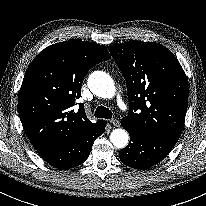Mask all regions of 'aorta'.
<instances>
[{"label": "aorta", "instance_id": "1", "mask_svg": "<svg viewBox=\"0 0 206 206\" xmlns=\"http://www.w3.org/2000/svg\"><path fill=\"white\" fill-rule=\"evenodd\" d=\"M90 90L102 98H111L115 94V85L112 78L105 72H93L88 79ZM128 133L124 129H115L110 135V141L117 148H124L128 144Z\"/></svg>", "mask_w": 206, "mask_h": 206}]
</instances>
